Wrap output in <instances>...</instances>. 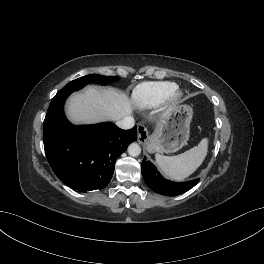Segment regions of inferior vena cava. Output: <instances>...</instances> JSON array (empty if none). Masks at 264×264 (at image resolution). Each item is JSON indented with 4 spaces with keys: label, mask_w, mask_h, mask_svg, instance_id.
I'll list each match as a JSON object with an SVG mask.
<instances>
[{
    "label": "inferior vena cava",
    "mask_w": 264,
    "mask_h": 264,
    "mask_svg": "<svg viewBox=\"0 0 264 264\" xmlns=\"http://www.w3.org/2000/svg\"><path fill=\"white\" fill-rule=\"evenodd\" d=\"M116 125L121 129H131L135 125L134 118L132 116H127L116 122Z\"/></svg>",
    "instance_id": "1"
}]
</instances>
